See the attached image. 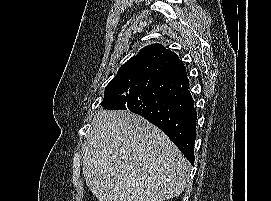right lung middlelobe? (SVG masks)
<instances>
[{
	"mask_svg": "<svg viewBox=\"0 0 271 201\" xmlns=\"http://www.w3.org/2000/svg\"><path fill=\"white\" fill-rule=\"evenodd\" d=\"M150 78L149 70H135L117 74L105 88L102 107L118 110L127 97L143 92Z\"/></svg>",
	"mask_w": 271,
	"mask_h": 201,
	"instance_id": "right-lung-middle-lobe-1",
	"label": "right lung middle lobe"
}]
</instances>
